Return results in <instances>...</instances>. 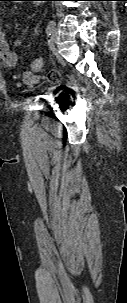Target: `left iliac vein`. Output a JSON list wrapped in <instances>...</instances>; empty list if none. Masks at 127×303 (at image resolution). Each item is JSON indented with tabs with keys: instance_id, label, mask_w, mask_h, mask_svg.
<instances>
[{
	"instance_id": "4c4485c4",
	"label": "left iliac vein",
	"mask_w": 127,
	"mask_h": 303,
	"mask_svg": "<svg viewBox=\"0 0 127 303\" xmlns=\"http://www.w3.org/2000/svg\"><path fill=\"white\" fill-rule=\"evenodd\" d=\"M58 38H59V34H58L57 29L55 28L51 32V37H50L49 45H50V48H51L52 52L54 53V55L57 58H60V54H59L58 49L56 47V43L58 41Z\"/></svg>"
}]
</instances>
